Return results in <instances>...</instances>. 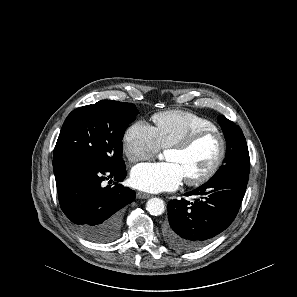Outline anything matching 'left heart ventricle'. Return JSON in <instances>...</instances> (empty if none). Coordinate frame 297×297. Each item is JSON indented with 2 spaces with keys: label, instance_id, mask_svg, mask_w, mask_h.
Listing matches in <instances>:
<instances>
[{
  "label": "left heart ventricle",
  "instance_id": "b2bd125f",
  "mask_svg": "<svg viewBox=\"0 0 297 297\" xmlns=\"http://www.w3.org/2000/svg\"><path fill=\"white\" fill-rule=\"evenodd\" d=\"M219 152L220 143L218 139L215 136H208L185 151L168 149L165 152V159L178 163L187 179L208 170L217 159Z\"/></svg>",
  "mask_w": 297,
  "mask_h": 297
}]
</instances>
